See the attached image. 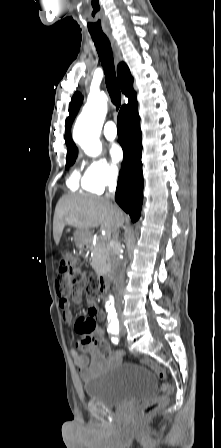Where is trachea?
Instances as JSON below:
<instances>
[{
	"label": "trachea",
	"instance_id": "obj_1",
	"mask_svg": "<svg viewBox=\"0 0 221 448\" xmlns=\"http://www.w3.org/2000/svg\"><path fill=\"white\" fill-rule=\"evenodd\" d=\"M101 64L103 66L105 81L112 104L118 109L121 105V92L116 78L111 44L105 35H92Z\"/></svg>",
	"mask_w": 221,
	"mask_h": 448
}]
</instances>
